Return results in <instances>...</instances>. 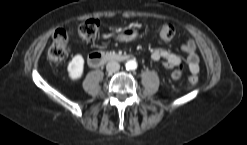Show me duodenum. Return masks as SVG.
<instances>
[{"instance_id":"duodenum-1","label":"duodenum","mask_w":247,"mask_h":145,"mask_svg":"<svg viewBox=\"0 0 247 145\" xmlns=\"http://www.w3.org/2000/svg\"><path fill=\"white\" fill-rule=\"evenodd\" d=\"M129 58L127 55L112 54L106 52H93L88 57V63L93 68H98L106 62L116 61L121 62Z\"/></svg>"}]
</instances>
